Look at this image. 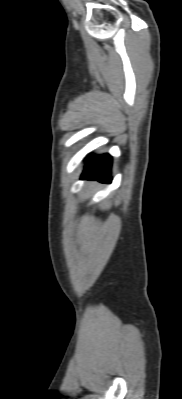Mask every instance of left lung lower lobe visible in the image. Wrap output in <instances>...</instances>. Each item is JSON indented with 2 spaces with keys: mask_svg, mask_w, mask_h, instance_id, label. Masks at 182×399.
<instances>
[{
  "mask_svg": "<svg viewBox=\"0 0 182 399\" xmlns=\"http://www.w3.org/2000/svg\"><path fill=\"white\" fill-rule=\"evenodd\" d=\"M112 157L109 154L97 155L86 162L81 179L99 180L101 182H111Z\"/></svg>",
  "mask_w": 182,
  "mask_h": 399,
  "instance_id": "1",
  "label": "left lung lower lobe"
}]
</instances>
